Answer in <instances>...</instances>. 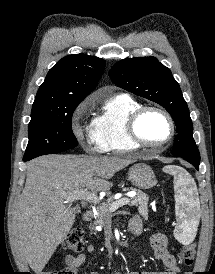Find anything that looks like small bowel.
I'll use <instances>...</instances> for the list:
<instances>
[{"instance_id": "small-bowel-1", "label": "small bowel", "mask_w": 215, "mask_h": 274, "mask_svg": "<svg viewBox=\"0 0 215 274\" xmlns=\"http://www.w3.org/2000/svg\"><path fill=\"white\" fill-rule=\"evenodd\" d=\"M130 229H137L139 232L142 230V220L139 216H134L129 223ZM150 243L157 259L161 260L165 266V269L157 272H150L145 274H177L179 272L176 257L168 249L167 237L161 233L156 232L150 238ZM95 252V246L89 244L86 247V252L80 253L76 256L67 255L65 258L66 268L70 274H78L80 267L85 262L87 254ZM91 274H100L98 272H92ZM116 274H121L117 272ZM129 274H143L140 272H131ZM184 274H191L185 272Z\"/></svg>"}]
</instances>
